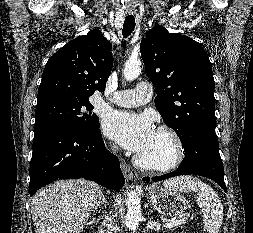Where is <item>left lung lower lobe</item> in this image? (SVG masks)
I'll use <instances>...</instances> for the list:
<instances>
[{
	"label": "left lung lower lobe",
	"mask_w": 253,
	"mask_h": 233,
	"mask_svg": "<svg viewBox=\"0 0 253 233\" xmlns=\"http://www.w3.org/2000/svg\"><path fill=\"white\" fill-rule=\"evenodd\" d=\"M182 145L185 157L178 169L162 176L153 177L152 181L156 182L184 174H195L214 180L227 192L215 129L198 128ZM143 181L149 182L150 177H144Z\"/></svg>",
	"instance_id": "0a47b994"
}]
</instances>
